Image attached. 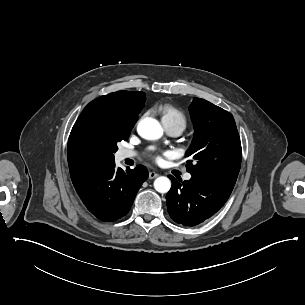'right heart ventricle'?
Listing matches in <instances>:
<instances>
[{
    "label": "right heart ventricle",
    "mask_w": 305,
    "mask_h": 305,
    "mask_svg": "<svg viewBox=\"0 0 305 305\" xmlns=\"http://www.w3.org/2000/svg\"><path fill=\"white\" fill-rule=\"evenodd\" d=\"M161 114L162 123H181L186 127V118L184 114L177 108L169 104H161L158 106Z\"/></svg>",
    "instance_id": "1"
}]
</instances>
